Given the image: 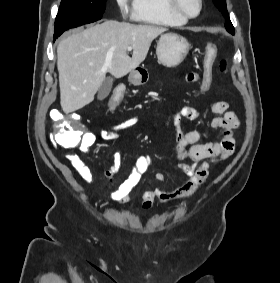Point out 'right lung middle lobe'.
<instances>
[{
  "label": "right lung middle lobe",
  "instance_id": "1",
  "mask_svg": "<svg viewBox=\"0 0 280 283\" xmlns=\"http://www.w3.org/2000/svg\"><path fill=\"white\" fill-rule=\"evenodd\" d=\"M106 0H62L55 20L54 37L65 30L102 18Z\"/></svg>",
  "mask_w": 280,
  "mask_h": 283
}]
</instances>
